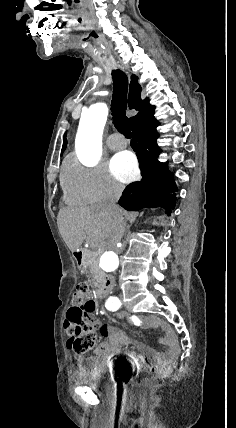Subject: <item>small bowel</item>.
<instances>
[{
  "label": "small bowel",
  "mask_w": 236,
  "mask_h": 428,
  "mask_svg": "<svg viewBox=\"0 0 236 428\" xmlns=\"http://www.w3.org/2000/svg\"><path fill=\"white\" fill-rule=\"evenodd\" d=\"M116 318L127 320L134 325L142 328H157L163 332L162 342L166 347L163 353L155 352L152 348L142 342L133 341L122 329L102 324L98 320L93 319V323L99 327L100 333L103 337L107 338L106 341L100 343L95 349L96 358H103L106 360L112 359L116 355L122 353L121 347L123 345L133 346L135 351H126L124 354L129 358L130 362L137 367L142 365H154L156 368L166 367L171 363L172 359L176 356L179 347L174 330L163 320L154 317H140L130 315L126 312L113 313ZM77 362L83 364V357L81 355L75 356Z\"/></svg>",
  "instance_id": "small-bowel-1"
}]
</instances>
